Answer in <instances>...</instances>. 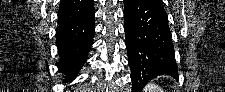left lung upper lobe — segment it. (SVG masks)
Wrapping results in <instances>:
<instances>
[{"label": "left lung upper lobe", "instance_id": "obj_1", "mask_svg": "<svg viewBox=\"0 0 225 92\" xmlns=\"http://www.w3.org/2000/svg\"><path fill=\"white\" fill-rule=\"evenodd\" d=\"M149 1L156 2V3H158V4H162V5H163L162 0H149Z\"/></svg>", "mask_w": 225, "mask_h": 92}]
</instances>
